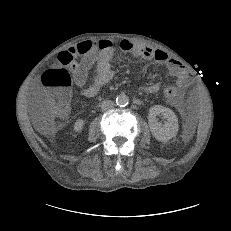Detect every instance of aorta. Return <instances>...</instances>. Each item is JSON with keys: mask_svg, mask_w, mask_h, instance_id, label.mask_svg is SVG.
Returning <instances> with one entry per match:
<instances>
[{"mask_svg": "<svg viewBox=\"0 0 231 231\" xmlns=\"http://www.w3.org/2000/svg\"><path fill=\"white\" fill-rule=\"evenodd\" d=\"M128 103H129V97L126 94L121 93L117 96L116 104L118 106L124 107V106L128 105Z\"/></svg>", "mask_w": 231, "mask_h": 231, "instance_id": "aorta-1", "label": "aorta"}]
</instances>
